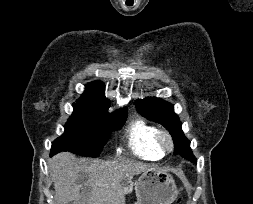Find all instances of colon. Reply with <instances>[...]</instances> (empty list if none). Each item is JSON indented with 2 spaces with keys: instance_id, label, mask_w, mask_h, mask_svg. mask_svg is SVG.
Returning a JSON list of instances; mask_svg holds the SVG:
<instances>
[{
  "instance_id": "obj_1",
  "label": "colon",
  "mask_w": 253,
  "mask_h": 204,
  "mask_svg": "<svg viewBox=\"0 0 253 204\" xmlns=\"http://www.w3.org/2000/svg\"><path fill=\"white\" fill-rule=\"evenodd\" d=\"M178 204H181V199L178 200Z\"/></svg>"
}]
</instances>
